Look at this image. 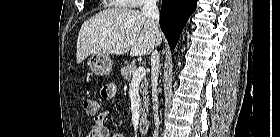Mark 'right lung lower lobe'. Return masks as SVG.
<instances>
[{"label": "right lung lower lobe", "mask_w": 280, "mask_h": 137, "mask_svg": "<svg viewBox=\"0 0 280 137\" xmlns=\"http://www.w3.org/2000/svg\"><path fill=\"white\" fill-rule=\"evenodd\" d=\"M196 3L197 0H162L159 23L171 49L175 48L188 18L196 8Z\"/></svg>", "instance_id": "right-lung-lower-lobe-1"}]
</instances>
